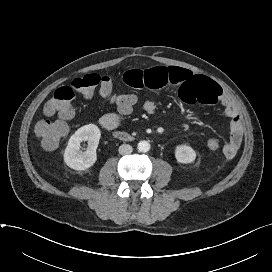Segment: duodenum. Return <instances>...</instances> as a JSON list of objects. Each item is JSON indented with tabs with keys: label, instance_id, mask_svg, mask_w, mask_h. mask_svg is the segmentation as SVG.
Instances as JSON below:
<instances>
[{
	"label": "duodenum",
	"instance_id": "1",
	"mask_svg": "<svg viewBox=\"0 0 272 272\" xmlns=\"http://www.w3.org/2000/svg\"><path fill=\"white\" fill-rule=\"evenodd\" d=\"M114 136L117 139H120V140H123V141H130L132 139V137L129 134L124 133V132H116L114 134Z\"/></svg>",
	"mask_w": 272,
	"mask_h": 272
}]
</instances>
